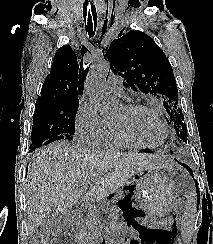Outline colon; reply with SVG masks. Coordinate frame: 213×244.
Returning <instances> with one entry per match:
<instances>
[{
  "instance_id": "1",
  "label": "colon",
  "mask_w": 213,
  "mask_h": 244,
  "mask_svg": "<svg viewBox=\"0 0 213 244\" xmlns=\"http://www.w3.org/2000/svg\"><path fill=\"white\" fill-rule=\"evenodd\" d=\"M38 244H52V234H45L40 237Z\"/></svg>"
}]
</instances>
